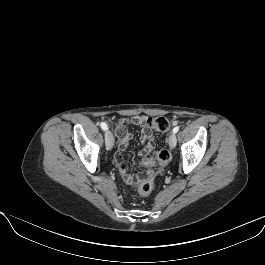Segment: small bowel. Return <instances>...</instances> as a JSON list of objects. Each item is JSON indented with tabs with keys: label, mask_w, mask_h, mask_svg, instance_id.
Returning <instances> with one entry per match:
<instances>
[{
	"label": "small bowel",
	"mask_w": 265,
	"mask_h": 265,
	"mask_svg": "<svg viewBox=\"0 0 265 265\" xmlns=\"http://www.w3.org/2000/svg\"><path fill=\"white\" fill-rule=\"evenodd\" d=\"M145 116H135L132 118H124L118 121L115 128V133L119 139V148L115 154V162L119 173L127 184H133L135 178L129 173L128 168L124 162L123 151L129 146L132 140V134L128 131L130 125L143 126L140 134V142L142 149L139 151L141 155L149 153L154 147V135L150 128L142 124Z\"/></svg>",
	"instance_id": "c3829d8e"
}]
</instances>
